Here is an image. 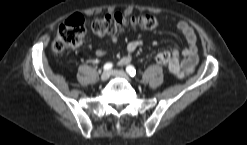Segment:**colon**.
<instances>
[{
  "label": "colon",
  "instance_id": "5ec220e1",
  "mask_svg": "<svg viewBox=\"0 0 247 145\" xmlns=\"http://www.w3.org/2000/svg\"><path fill=\"white\" fill-rule=\"evenodd\" d=\"M158 21L153 15L143 14L127 17L121 13H113L96 18L91 23V31L97 36L115 35L127 28H139L147 31L156 29ZM86 35L84 20L80 15H74L64 21L58 28L57 35L52 43L56 53H63L79 46ZM161 64L169 62V55L164 52L156 57ZM183 77L184 74H177Z\"/></svg>",
  "mask_w": 247,
  "mask_h": 145
}]
</instances>
